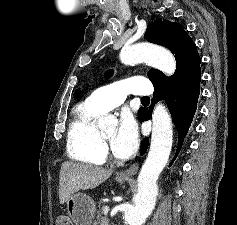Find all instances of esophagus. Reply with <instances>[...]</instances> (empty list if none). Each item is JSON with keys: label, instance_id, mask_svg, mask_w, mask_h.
Instances as JSON below:
<instances>
[{"label": "esophagus", "instance_id": "obj_1", "mask_svg": "<svg viewBox=\"0 0 237 225\" xmlns=\"http://www.w3.org/2000/svg\"><path fill=\"white\" fill-rule=\"evenodd\" d=\"M138 169H139V162L136 161L128 169L119 172L118 177L130 178L138 172Z\"/></svg>", "mask_w": 237, "mask_h": 225}]
</instances>
